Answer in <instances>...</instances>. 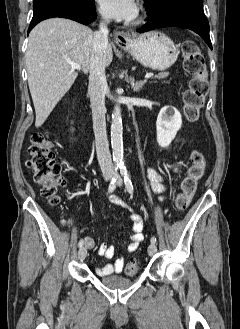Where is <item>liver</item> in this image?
<instances>
[{
    "label": "liver",
    "instance_id": "liver-1",
    "mask_svg": "<svg viewBox=\"0 0 240 329\" xmlns=\"http://www.w3.org/2000/svg\"><path fill=\"white\" fill-rule=\"evenodd\" d=\"M92 37L90 28L62 18L45 20L30 32L25 60L36 128L76 80L78 72L71 63L79 64L83 72L90 71ZM105 55L108 66L113 59L110 44Z\"/></svg>",
    "mask_w": 240,
    "mask_h": 329
}]
</instances>
